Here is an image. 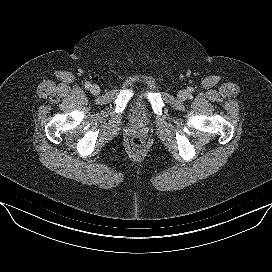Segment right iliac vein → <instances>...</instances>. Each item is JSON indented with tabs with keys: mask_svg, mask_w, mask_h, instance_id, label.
I'll return each mask as SVG.
<instances>
[{
	"mask_svg": "<svg viewBox=\"0 0 272 272\" xmlns=\"http://www.w3.org/2000/svg\"><path fill=\"white\" fill-rule=\"evenodd\" d=\"M90 92L93 94V95H98L100 93V87L98 85H92L90 87Z\"/></svg>",
	"mask_w": 272,
	"mask_h": 272,
	"instance_id": "right-iliac-vein-1",
	"label": "right iliac vein"
}]
</instances>
